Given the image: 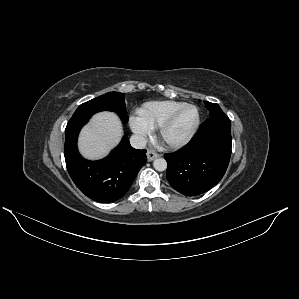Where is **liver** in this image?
I'll return each instance as SVG.
<instances>
[{
  "label": "liver",
  "mask_w": 299,
  "mask_h": 299,
  "mask_svg": "<svg viewBox=\"0 0 299 299\" xmlns=\"http://www.w3.org/2000/svg\"><path fill=\"white\" fill-rule=\"evenodd\" d=\"M122 134V124L115 113L99 112L82 128L78 147L85 158L100 159L120 142Z\"/></svg>",
  "instance_id": "liver-1"
}]
</instances>
